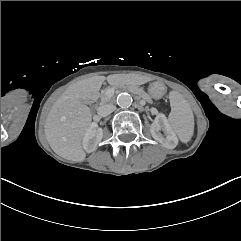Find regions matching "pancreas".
I'll use <instances>...</instances> for the list:
<instances>
[{"label":"pancreas","mask_w":241,"mask_h":241,"mask_svg":"<svg viewBox=\"0 0 241 241\" xmlns=\"http://www.w3.org/2000/svg\"><path fill=\"white\" fill-rule=\"evenodd\" d=\"M106 92H107V89H104L101 91L100 99L102 104L112 101V97H108ZM130 92H134V94H138L147 98V101H150V102L152 101V95H150V93H148L147 91H143L135 87H130Z\"/></svg>","instance_id":"cf45deb5"}]
</instances>
